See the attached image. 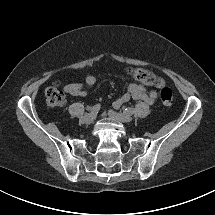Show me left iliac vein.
<instances>
[{
	"instance_id": "obj_1",
	"label": "left iliac vein",
	"mask_w": 215,
	"mask_h": 215,
	"mask_svg": "<svg viewBox=\"0 0 215 215\" xmlns=\"http://www.w3.org/2000/svg\"><path fill=\"white\" fill-rule=\"evenodd\" d=\"M108 114L112 119L118 122H131L133 120V117L126 113H118L113 110H109Z\"/></svg>"
}]
</instances>
